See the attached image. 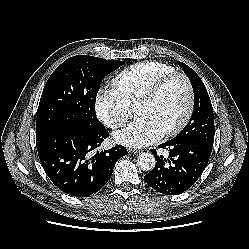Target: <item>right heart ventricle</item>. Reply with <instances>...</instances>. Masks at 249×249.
Segmentation results:
<instances>
[{
	"mask_svg": "<svg viewBox=\"0 0 249 249\" xmlns=\"http://www.w3.org/2000/svg\"><path fill=\"white\" fill-rule=\"evenodd\" d=\"M174 71V67L162 62H139L120 71L113 78L112 85L130 105L137 102L157 79Z\"/></svg>",
	"mask_w": 249,
	"mask_h": 249,
	"instance_id": "right-heart-ventricle-1",
	"label": "right heart ventricle"
}]
</instances>
